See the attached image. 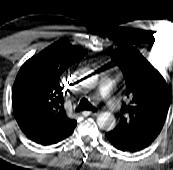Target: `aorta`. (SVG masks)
<instances>
[{"mask_svg": "<svg viewBox=\"0 0 173 170\" xmlns=\"http://www.w3.org/2000/svg\"><path fill=\"white\" fill-rule=\"evenodd\" d=\"M97 83V77L93 76L85 80V85L87 87H93ZM97 124L99 128L110 131L115 127L116 120L113 114L110 112H104L98 115L97 117Z\"/></svg>", "mask_w": 173, "mask_h": 170, "instance_id": "762f6f07", "label": "aorta"}]
</instances>
